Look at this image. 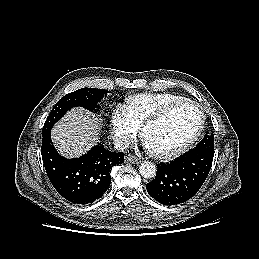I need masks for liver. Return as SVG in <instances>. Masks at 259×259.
I'll return each instance as SVG.
<instances>
[{
  "instance_id": "obj_1",
  "label": "liver",
  "mask_w": 259,
  "mask_h": 259,
  "mask_svg": "<svg viewBox=\"0 0 259 259\" xmlns=\"http://www.w3.org/2000/svg\"><path fill=\"white\" fill-rule=\"evenodd\" d=\"M100 124L81 108L69 111L52 129V141L66 157H79L98 142Z\"/></svg>"
}]
</instances>
